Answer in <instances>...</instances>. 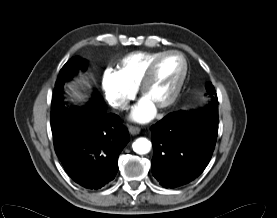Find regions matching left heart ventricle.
<instances>
[{"instance_id": "obj_1", "label": "left heart ventricle", "mask_w": 277, "mask_h": 218, "mask_svg": "<svg viewBox=\"0 0 277 218\" xmlns=\"http://www.w3.org/2000/svg\"><path fill=\"white\" fill-rule=\"evenodd\" d=\"M183 71L181 59L176 55L163 58L155 71V75L147 86L144 97L155 106L166 101L177 85Z\"/></svg>"}]
</instances>
